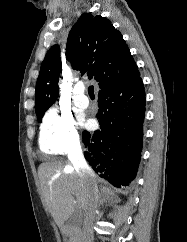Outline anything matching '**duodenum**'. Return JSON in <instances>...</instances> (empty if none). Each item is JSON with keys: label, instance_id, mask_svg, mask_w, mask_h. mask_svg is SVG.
<instances>
[{"label": "duodenum", "instance_id": "1", "mask_svg": "<svg viewBox=\"0 0 187 242\" xmlns=\"http://www.w3.org/2000/svg\"><path fill=\"white\" fill-rule=\"evenodd\" d=\"M62 232L64 233V234H66V233H68L69 231H71V228L69 227V226H67V225H64L63 227H62Z\"/></svg>", "mask_w": 187, "mask_h": 242}]
</instances>
